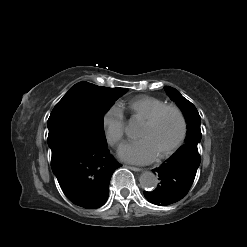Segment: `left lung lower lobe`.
I'll return each instance as SVG.
<instances>
[{
	"instance_id": "left-lung-lower-lobe-1",
	"label": "left lung lower lobe",
	"mask_w": 247,
	"mask_h": 247,
	"mask_svg": "<svg viewBox=\"0 0 247 247\" xmlns=\"http://www.w3.org/2000/svg\"><path fill=\"white\" fill-rule=\"evenodd\" d=\"M197 144L185 143L166 162L155 170L160 183L144 196L159 206H167L182 199L189 191L200 165Z\"/></svg>"
}]
</instances>
